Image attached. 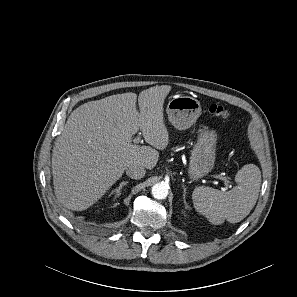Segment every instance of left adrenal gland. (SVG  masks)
<instances>
[{"instance_id": "obj_1", "label": "left adrenal gland", "mask_w": 297, "mask_h": 297, "mask_svg": "<svg viewBox=\"0 0 297 297\" xmlns=\"http://www.w3.org/2000/svg\"><path fill=\"white\" fill-rule=\"evenodd\" d=\"M185 197H186V188L183 186V202L185 204V208H189Z\"/></svg>"}]
</instances>
